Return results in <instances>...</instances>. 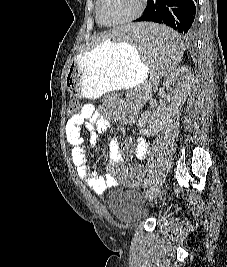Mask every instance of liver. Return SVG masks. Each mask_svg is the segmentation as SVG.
<instances>
[{"label":"liver","mask_w":227,"mask_h":267,"mask_svg":"<svg viewBox=\"0 0 227 267\" xmlns=\"http://www.w3.org/2000/svg\"><path fill=\"white\" fill-rule=\"evenodd\" d=\"M117 33H119V30L112 29V30L108 31L107 33H105L104 35L98 37L95 40V44L103 43V42H105L111 38H114V36H116Z\"/></svg>","instance_id":"obj_1"}]
</instances>
